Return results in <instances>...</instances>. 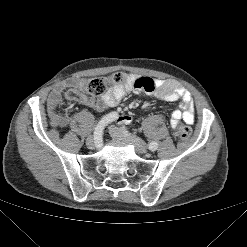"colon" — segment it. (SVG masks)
<instances>
[{"label":"colon","mask_w":247,"mask_h":247,"mask_svg":"<svg viewBox=\"0 0 247 247\" xmlns=\"http://www.w3.org/2000/svg\"><path fill=\"white\" fill-rule=\"evenodd\" d=\"M108 82H112L115 85H128L132 83L135 86H140L142 84L139 80L133 81L127 74L118 72L110 78L98 77L83 81L82 87L69 89L66 95L72 100H78L85 92L93 96H100L105 92ZM190 135L191 129L186 125H180L175 132V136L179 140H186Z\"/></svg>","instance_id":"colon-1"}]
</instances>
